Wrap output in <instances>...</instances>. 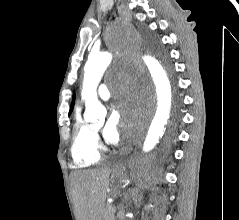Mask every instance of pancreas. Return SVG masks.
<instances>
[{
	"mask_svg": "<svg viewBox=\"0 0 239 220\" xmlns=\"http://www.w3.org/2000/svg\"><path fill=\"white\" fill-rule=\"evenodd\" d=\"M103 220H115L113 206L107 205L103 211Z\"/></svg>",
	"mask_w": 239,
	"mask_h": 220,
	"instance_id": "obj_1",
	"label": "pancreas"
}]
</instances>
